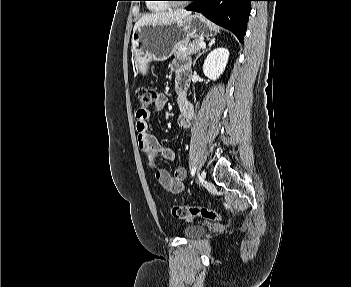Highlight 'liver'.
I'll use <instances>...</instances> for the list:
<instances>
[{
  "instance_id": "obj_1",
  "label": "liver",
  "mask_w": 351,
  "mask_h": 287,
  "mask_svg": "<svg viewBox=\"0 0 351 287\" xmlns=\"http://www.w3.org/2000/svg\"><path fill=\"white\" fill-rule=\"evenodd\" d=\"M191 15L190 11L186 10H175V11H169V12H159V13H152V14H146L143 15L135 24L134 26V31L143 25H156V24H171V23H176L180 22L184 18L188 17Z\"/></svg>"
}]
</instances>
